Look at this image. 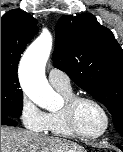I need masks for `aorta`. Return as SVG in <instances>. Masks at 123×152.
I'll use <instances>...</instances> for the list:
<instances>
[{
  "label": "aorta",
  "instance_id": "762f6f07",
  "mask_svg": "<svg viewBox=\"0 0 123 152\" xmlns=\"http://www.w3.org/2000/svg\"><path fill=\"white\" fill-rule=\"evenodd\" d=\"M52 49V37L44 31L25 51L20 62V83L24 93L42 109L53 110L59 97L48 84L45 66Z\"/></svg>",
  "mask_w": 123,
  "mask_h": 152
}]
</instances>
